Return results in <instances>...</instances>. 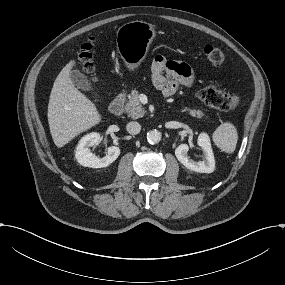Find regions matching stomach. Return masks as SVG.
Here are the masks:
<instances>
[{"label": "stomach", "instance_id": "1", "mask_svg": "<svg viewBox=\"0 0 285 285\" xmlns=\"http://www.w3.org/2000/svg\"><path fill=\"white\" fill-rule=\"evenodd\" d=\"M156 36V26L143 20L130 21L118 28L116 48L128 72H135L142 65Z\"/></svg>", "mask_w": 285, "mask_h": 285}]
</instances>
